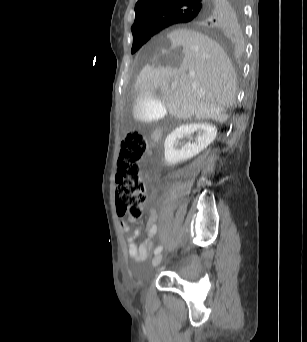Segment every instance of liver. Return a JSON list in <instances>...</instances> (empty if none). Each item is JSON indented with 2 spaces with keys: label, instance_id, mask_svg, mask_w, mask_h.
<instances>
[{
  "label": "liver",
  "instance_id": "liver-1",
  "mask_svg": "<svg viewBox=\"0 0 307 342\" xmlns=\"http://www.w3.org/2000/svg\"><path fill=\"white\" fill-rule=\"evenodd\" d=\"M162 40L135 84V95H153L161 88L164 104L180 120L226 122L233 106L236 74L223 48L195 30H173ZM177 88H169L170 80Z\"/></svg>",
  "mask_w": 307,
  "mask_h": 342
}]
</instances>
